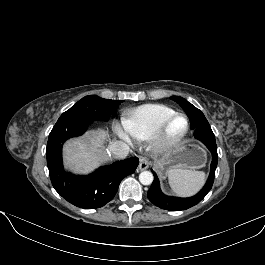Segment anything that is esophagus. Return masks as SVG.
Returning <instances> with one entry per match:
<instances>
[{
    "mask_svg": "<svg viewBox=\"0 0 265 265\" xmlns=\"http://www.w3.org/2000/svg\"><path fill=\"white\" fill-rule=\"evenodd\" d=\"M150 164H151V162L149 160L142 158L140 160L139 165H138L137 172H140V171L147 169Z\"/></svg>",
    "mask_w": 265,
    "mask_h": 265,
    "instance_id": "esophagus-1",
    "label": "esophagus"
}]
</instances>
